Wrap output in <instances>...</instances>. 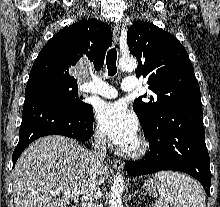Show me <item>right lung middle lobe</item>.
<instances>
[{
    "mask_svg": "<svg viewBox=\"0 0 220 207\" xmlns=\"http://www.w3.org/2000/svg\"><path fill=\"white\" fill-rule=\"evenodd\" d=\"M32 90L52 94L75 110L85 109L89 105L82 101L83 97L77 96V85L66 84L56 80H40L32 84H27L25 93Z\"/></svg>",
    "mask_w": 220,
    "mask_h": 207,
    "instance_id": "dd1d6c3e",
    "label": "right lung middle lobe"
}]
</instances>
